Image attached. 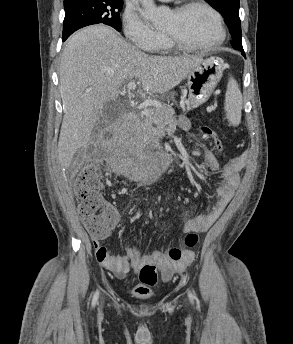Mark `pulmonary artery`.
Here are the masks:
<instances>
[{
    "instance_id": "obj_1",
    "label": "pulmonary artery",
    "mask_w": 293,
    "mask_h": 344,
    "mask_svg": "<svg viewBox=\"0 0 293 344\" xmlns=\"http://www.w3.org/2000/svg\"><path fill=\"white\" fill-rule=\"evenodd\" d=\"M160 1H169V0H160Z\"/></svg>"
}]
</instances>
